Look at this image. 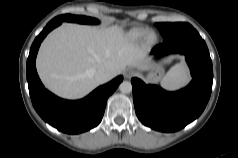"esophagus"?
<instances>
[{
  "label": "esophagus",
  "mask_w": 238,
  "mask_h": 158,
  "mask_svg": "<svg viewBox=\"0 0 238 158\" xmlns=\"http://www.w3.org/2000/svg\"><path fill=\"white\" fill-rule=\"evenodd\" d=\"M135 75V71L131 68H128L126 71H125V77L127 79H130L131 77H133Z\"/></svg>",
  "instance_id": "esophagus-1"
}]
</instances>
